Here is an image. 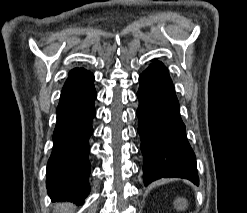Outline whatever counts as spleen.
Returning <instances> with one entry per match:
<instances>
[{"label": "spleen", "instance_id": "spleen-1", "mask_svg": "<svg viewBox=\"0 0 247 213\" xmlns=\"http://www.w3.org/2000/svg\"><path fill=\"white\" fill-rule=\"evenodd\" d=\"M185 206H186L185 204H182V205L179 206V208L182 209V208H184Z\"/></svg>", "mask_w": 247, "mask_h": 213}]
</instances>
